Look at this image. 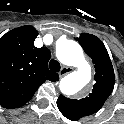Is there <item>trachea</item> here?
Returning <instances> with one entry per match:
<instances>
[{"mask_svg": "<svg viewBox=\"0 0 124 124\" xmlns=\"http://www.w3.org/2000/svg\"><path fill=\"white\" fill-rule=\"evenodd\" d=\"M60 63L56 60H51L49 62V68L54 71V72H59L60 71Z\"/></svg>", "mask_w": 124, "mask_h": 124, "instance_id": "3493384b", "label": "trachea"}]
</instances>
